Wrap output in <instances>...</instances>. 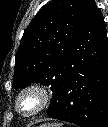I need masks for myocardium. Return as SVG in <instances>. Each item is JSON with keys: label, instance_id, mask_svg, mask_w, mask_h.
Masks as SVG:
<instances>
[{"label": "myocardium", "instance_id": "obj_1", "mask_svg": "<svg viewBox=\"0 0 108 127\" xmlns=\"http://www.w3.org/2000/svg\"><path fill=\"white\" fill-rule=\"evenodd\" d=\"M33 98L34 103L30 108L24 107V102ZM52 95L47 86L42 83H31L23 87L15 99V109L23 117H32L42 112L50 104Z\"/></svg>", "mask_w": 108, "mask_h": 127}]
</instances>
